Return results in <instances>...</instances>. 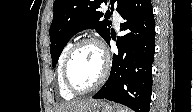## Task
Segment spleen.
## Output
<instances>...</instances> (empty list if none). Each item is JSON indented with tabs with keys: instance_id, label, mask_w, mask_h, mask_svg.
I'll return each mask as SVG.
<instances>
[{
	"instance_id": "spleen-1",
	"label": "spleen",
	"mask_w": 193,
	"mask_h": 112,
	"mask_svg": "<svg viewBox=\"0 0 193 112\" xmlns=\"http://www.w3.org/2000/svg\"><path fill=\"white\" fill-rule=\"evenodd\" d=\"M119 112H129V110H128V109H125V110H121V111H119Z\"/></svg>"
}]
</instances>
